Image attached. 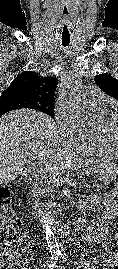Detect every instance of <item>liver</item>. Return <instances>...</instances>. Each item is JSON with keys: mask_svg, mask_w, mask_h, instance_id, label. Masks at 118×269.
Returning <instances> with one entry per match:
<instances>
[{"mask_svg": "<svg viewBox=\"0 0 118 269\" xmlns=\"http://www.w3.org/2000/svg\"><path fill=\"white\" fill-rule=\"evenodd\" d=\"M25 164L44 165L43 173L90 168L98 161L84 160L59 148V131L48 115L32 110L11 111L0 118V184L14 180Z\"/></svg>", "mask_w": 118, "mask_h": 269, "instance_id": "1", "label": "liver"}]
</instances>
